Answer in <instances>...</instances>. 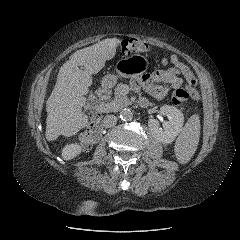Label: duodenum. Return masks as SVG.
Listing matches in <instances>:
<instances>
[{
	"label": "duodenum",
	"instance_id": "obj_1",
	"mask_svg": "<svg viewBox=\"0 0 240 240\" xmlns=\"http://www.w3.org/2000/svg\"><path fill=\"white\" fill-rule=\"evenodd\" d=\"M97 96L102 101H107L109 98V88L106 86H103L97 90Z\"/></svg>",
	"mask_w": 240,
	"mask_h": 240
}]
</instances>
